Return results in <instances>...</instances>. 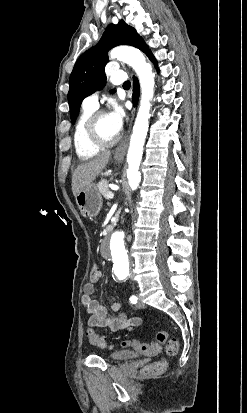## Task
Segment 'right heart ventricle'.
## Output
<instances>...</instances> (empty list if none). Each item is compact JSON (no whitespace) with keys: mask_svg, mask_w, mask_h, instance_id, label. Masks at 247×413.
Listing matches in <instances>:
<instances>
[{"mask_svg":"<svg viewBox=\"0 0 247 413\" xmlns=\"http://www.w3.org/2000/svg\"><path fill=\"white\" fill-rule=\"evenodd\" d=\"M90 117V111L83 113L77 122L74 133L76 152L79 159L83 161L97 156L101 151V149L91 145L86 139V130Z\"/></svg>","mask_w":247,"mask_h":413,"instance_id":"obj_1","label":"right heart ventricle"}]
</instances>
